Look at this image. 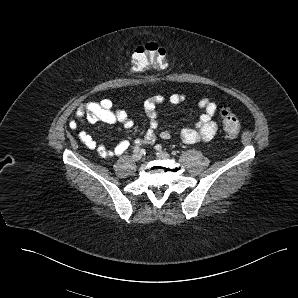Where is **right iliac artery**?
Instances as JSON below:
<instances>
[{"instance_id":"right-iliac-artery-1","label":"right iliac artery","mask_w":298,"mask_h":298,"mask_svg":"<svg viewBox=\"0 0 298 298\" xmlns=\"http://www.w3.org/2000/svg\"><path fill=\"white\" fill-rule=\"evenodd\" d=\"M140 151V147L139 146H135L134 147V152H139Z\"/></svg>"}]
</instances>
